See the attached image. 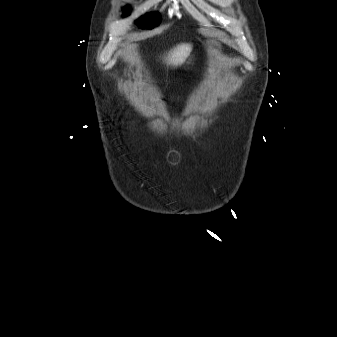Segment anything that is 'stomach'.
Instances as JSON below:
<instances>
[{
	"label": "stomach",
	"mask_w": 337,
	"mask_h": 337,
	"mask_svg": "<svg viewBox=\"0 0 337 337\" xmlns=\"http://www.w3.org/2000/svg\"><path fill=\"white\" fill-rule=\"evenodd\" d=\"M192 62V58L189 59V61L187 62V64H190Z\"/></svg>",
	"instance_id": "obj_1"
}]
</instances>
